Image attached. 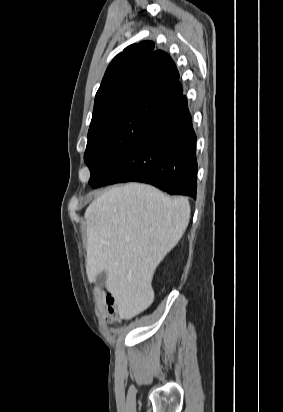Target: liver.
Segmentation results:
<instances>
[{"label": "liver", "mask_w": 283, "mask_h": 412, "mask_svg": "<svg viewBox=\"0 0 283 412\" xmlns=\"http://www.w3.org/2000/svg\"><path fill=\"white\" fill-rule=\"evenodd\" d=\"M189 219L187 198L140 183L112 187L87 207V277L95 281L106 272L120 318L131 319L153 302V274Z\"/></svg>", "instance_id": "1"}]
</instances>
